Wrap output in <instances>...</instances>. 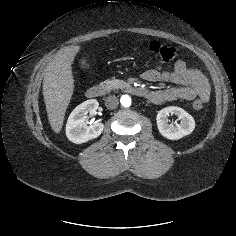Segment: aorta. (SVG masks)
I'll use <instances>...</instances> for the list:
<instances>
[{"label":"aorta","instance_id":"762f6f07","mask_svg":"<svg viewBox=\"0 0 236 236\" xmlns=\"http://www.w3.org/2000/svg\"><path fill=\"white\" fill-rule=\"evenodd\" d=\"M120 102L122 106L129 107L131 105V98L129 95H122Z\"/></svg>","mask_w":236,"mask_h":236}]
</instances>
